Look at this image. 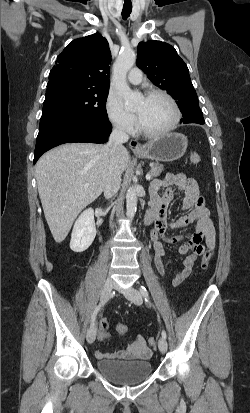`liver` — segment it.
<instances>
[{
    "instance_id": "liver-1",
    "label": "liver",
    "mask_w": 250,
    "mask_h": 413,
    "mask_svg": "<svg viewBox=\"0 0 250 413\" xmlns=\"http://www.w3.org/2000/svg\"><path fill=\"white\" fill-rule=\"evenodd\" d=\"M106 148L107 144L67 143L45 153L36 163L40 200L57 243L66 238L79 212L104 190L109 167ZM129 160V152L121 148L115 168L123 173Z\"/></svg>"
}]
</instances>
